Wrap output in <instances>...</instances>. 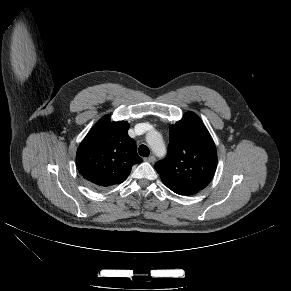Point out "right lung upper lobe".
Masks as SVG:
<instances>
[{"instance_id":"obj_1","label":"right lung upper lobe","mask_w":291,"mask_h":291,"mask_svg":"<svg viewBox=\"0 0 291 291\" xmlns=\"http://www.w3.org/2000/svg\"><path fill=\"white\" fill-rule=\"evenodd\" d=\"M129 124L101 118L78 147L76 164L80 174L97 188L124 182L131 167L142 162L135 141L128 136Z\"/></svg>"}]
</instances>
